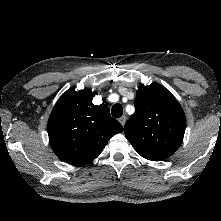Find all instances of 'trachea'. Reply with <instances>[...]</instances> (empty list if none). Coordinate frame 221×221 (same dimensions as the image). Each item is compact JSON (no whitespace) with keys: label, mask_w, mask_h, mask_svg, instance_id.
Instances as JSON below:
<instances>
[{"label":"trachea","mask_w":221,"mask_h":221,"mask_svg":"<svg viewBox=\"0 0 221 221\" xmlns=\"http://www.w3.org/2000/svg\"><path fill=\"white\" fill-rule=\"evenodd\" d=\"M111 114L115 118H119L123 115V108L120 104L113 105L111 109Z\"/></svg>","instance_id":"trachea-1"}]
</instances>
